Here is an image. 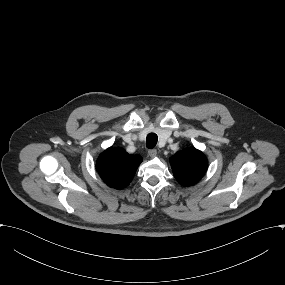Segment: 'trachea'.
<instances>
[{
  "mask_svg": "<svg viewBox=\"0 0 285 285\" xmlns=\"http://www.w3.org/2000/svg\"><path fill=\"white\" fill-rule=\"evenodd\" d=\"M158 137L155 133H149L146 137L147 148H154L157 144Z\"/></svg>",
  "mask_w": 285,
  "mask_h": 285,
  "instance_id": "1",
  "label": "trachea"
}]
</instances>
